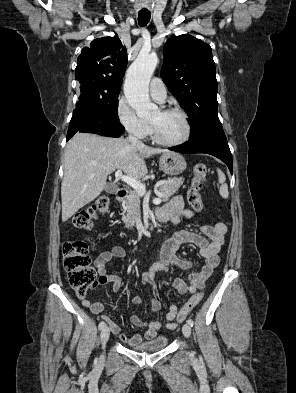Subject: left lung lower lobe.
<instances>
[{
    "mask_svg": "<svg viewBox=\"0 0 296 393\" xmlns=\"http://www.w3.org/2000/svg\"><path fill=\"white\" fill-rule=\"evenodd\" d=\"M169 150L180 153H207L222 160L232 173V155L228 146V142L222 128L214 129L200 137L189 140L188 142L170 147Z\"/></svg>",
    "mask_w": 296,
    "mask_h": 393,
    "instance_id": "0a47b994",
    "label": "left lung lower lobe"
}]
</instances>
